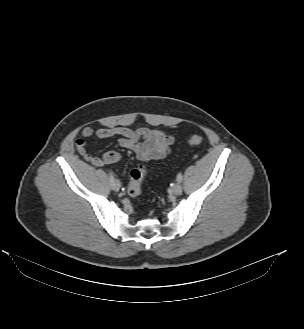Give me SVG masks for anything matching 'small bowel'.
I'll return each instance as SVG.
<instances>
[{
	"mask_svg": "<svg viewBox=\"0 0 304 329\" xmlns=\"http://www.w3.org/2000/svg\"><path fill=\"white\" fill-rule=\"evenodd\" d=\"M93 135L100 139L118 136L119 145L133 152L135 160L141 162L164 159L174 143V137L160 129L107 127L94 131L91 127H85L76 141V148L79 154L94 166L118 163L121 155L116 151H108L102 157L91 156L86 151L85 139Z\"/></svg>",
	"mask_w": 304,
	"mask_h": 329,
	"instance_id": "1",
	"label": "small bowel"
}]
</instances>
